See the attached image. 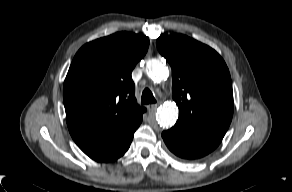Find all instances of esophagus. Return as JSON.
I'll return each instance as SVG.
<instances>
[{"label":"esophagus","instance_id":"34e87169","mask_svg":"<svg viewBox=\"0 0 292 192\" xmlns=\"http://www.w3.org/2000/svg\"><path fill=\"white\" fill-rule=\"evenodd\" d=\"M159 106V103L148 105L147 108L150 112L155 111Z\"/></svg>","mask_w":292,"mask_h":192}]
</instances>
